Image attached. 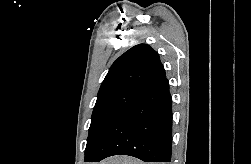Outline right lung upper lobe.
I'll return each mask as SVG.
<instances>
[{"label": "right lung upper lobe", "instance_id": "cb5924a9", "mask_svg": "<svg viewBox=\"0 0 251 164\" xmlns=\"http://www.w3.org/2000/svg\"><path fill=\"white\" fill-rule=\"evenodd\" d=\"M165 77L158 53L149 45L139 44L113 63L102 82L98 96L125 87L142 90Z\"/></svg>", "mask_w": 251, "mask_h": 164}]
</instances>
